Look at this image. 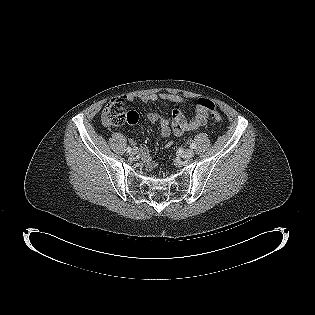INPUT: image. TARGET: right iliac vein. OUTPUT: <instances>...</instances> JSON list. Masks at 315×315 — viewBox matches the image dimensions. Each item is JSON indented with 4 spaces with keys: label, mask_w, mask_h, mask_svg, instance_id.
Returning <instances> with one entry per match:
<instances>
[{
    "label": "right iliac vein",
    "mask_w": 315,
    "mask_h": 315,
    "mask_svg": "<svg viewBox=\"0 0 315 315\" xmlns=\"http://www.w3.org/2000/svg\"><path fill=\"white\" fill-rule=\"evenodd\" d=\"M136 153H137V149H133V150L131 151V156L135 155Z\"/></svg>",
    "instance_id": "right-iliac-vein-1"
}]
</instances>
